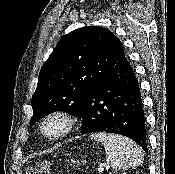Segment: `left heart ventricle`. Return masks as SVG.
I'll list each match as a JSON object with an SVG mask.
<instances>
[{"label": "left heart ventricle", "instance_id": "obj_1", "mask_svg": "<svg viewBox=\"0 0 175 174\" xmlns=\"http://www.w3.org/2000/svg\"><path fill=\"white\" fill-rule=\"evenodd\" d=\"M62 127V123L60 120L54 119L47 123L46 132L49 134L57 133Z\"/></svg>", "mask_w": 175, "mask_h": 174}]
</instances>
